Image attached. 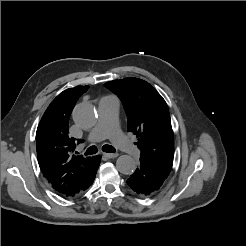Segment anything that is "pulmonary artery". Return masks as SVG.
I'll use <instances>...</instances> for the list:
<instances>
[{"label": "pulmonary artery", "mask_w": 246, "mask_h": 246, "mask_svg": "<svg viewBox=\"0 0 246 246\" xmlns=\"http://www.w3.org/2000/svg\"><path fill=\"white\" fill-rule=\"evenodd\" d=\"M119 100L108 95L100 99L98 104V120L88 135L89 142H98L109 138L119 149L133 158L140 156V150L131 143L118 127Z\"/></svg>", "instance_id": "e3ab8cb5"}]
</instances>
